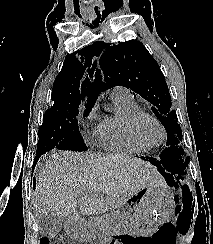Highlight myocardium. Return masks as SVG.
<instances>
[{
  "mask_svg": "<svg viewBox=\"0 0 213 244\" xmlns=\"http://www.w3.org/2000/svg\"><path fill=\"white\" fill-rule=\"evenodd\" d=\"M145 120L153 121L160 129L161 138L157 142H151L146 139L141 132V125ZM129 131L131 135L140 143L147 145L148 147H156L164 142L166 138V130L162 122L153 114L141 111L133 115L129 121Z\"/></svg>",
  "mask_w": 213,
  "mask_h": 244,
  "instance_id": "1",
  "label": "myocardium"
}]
</instances>
